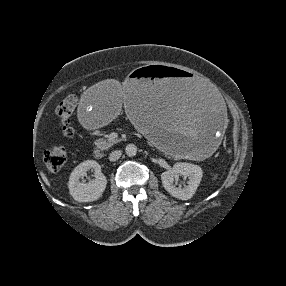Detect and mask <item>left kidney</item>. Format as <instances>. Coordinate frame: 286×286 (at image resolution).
Listing matches in <instances>:
<instances>
[{
    "label": "left kidney",
    "mask_w": 286,
    "mask_h": 286,
    "mask_svg": "<svg viewBox=\"0 0 286 286\" xmlns=\"http://www.w3.org/2000/svg\"><path fill=\"white\" fill-rule=\"evenodd\" d=\"M178 175L189 178L188 185L184 188L176 187L174 185V180ZM202 176V169L198 165L179 162L175 163L170 170L163 172L161 174V180L165 190L173 197L181 200H188L195 194Z\"/></svg>",
    "instance_id": "obj_1"
}]
</instances>
